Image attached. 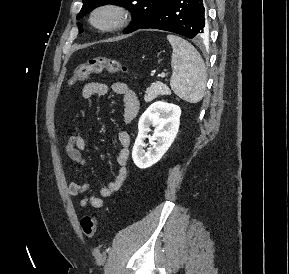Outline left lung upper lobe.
<instances>
[{"label":"left lung upper lobe","instance_id":"left-lung-upper-lobe-1","mask_svg":"<svg viewBox=\"0 0 289 274\" xmlns=\"http://www.w3.org/2000/svg\"><path fill=\"white\" fill-rule=\"evenodd\" d=\"M165 0H83V6L77 19L82 18L94 8L112 3L126 7L132 14V22L125 30L130 33L145 23L161 6ZM80 32H83L81 25L78 24Z\"/></svg>","mask_w":289,"mask_h":274}]
</instances>
